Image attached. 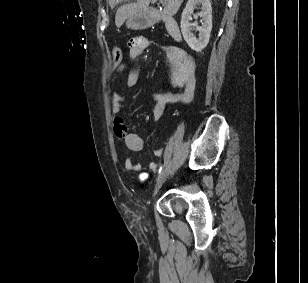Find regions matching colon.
<instances>
[{"label":"colon","mask_w":308,"mask_h":283,"mask_svg":"<svg viewBox=\"0 0 308 283\" xmlns=\"http://www.w3.org/2000/svg\"><path fill=\"white\" fill-rule=\"evenodd\" d=\"M113 61L115 65H119L122 61V50L119 47H115L112 51Z\"/></svg>","instance_id":"colon-1"}]
</instances>
